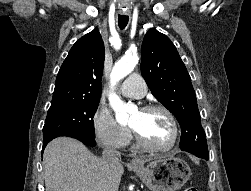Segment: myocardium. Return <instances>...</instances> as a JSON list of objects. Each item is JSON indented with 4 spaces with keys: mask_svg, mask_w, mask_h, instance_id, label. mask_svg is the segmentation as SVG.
Instances as JSON below:
<instances>
[{
    "mask_svg": "<svg viewBox=\"0 0 251 191\" xmlns=\"http://www.w3.org/2000/svg\"><path fill=\"white\" fill-rule=\"evenodd\" d=\"M155 110H159V111L164 112L168 116V118L170 119L172 126H173V132H174V139H173L172 144L168 147H165V148L154 147L147 142V140L143 137V135L138 130H136L134 127H132V130L135 135V139H136L138 145L147 151L155 152V153L172 152L178 147L179 142H180V137H181L180 127H179V123L177 121V118L175 117L174 113L170 109H168L167 107L160 105V104H149V105H146L142 108V111H155Z\"/></svg>",
    "mask_w": 251,
    "mask_h": 191,
    "instance_id": "myocardium-1",
    "label": "myocardium"
}]
</instances>
